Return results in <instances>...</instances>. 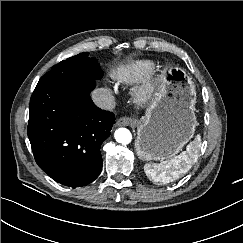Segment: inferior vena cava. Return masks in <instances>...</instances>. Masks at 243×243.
Instances as JSON below:
<instances>
[{
    "mask_svg": "<svg viewBox=\"0 0 243 243\" xmlns=\"http://www.w3.org/2000/svg\"><path fill=\"white\" fill-rule=\"evenodd\" d=\"M91 98L94 104L103 110H111L115 107V99L106 89H95L91 94Z\"/></svg>",
    "mask_w": 243,
    "mask_h": 243,
    "instance_id": "1",
    "label": "inferior vena cava"
}]
</instances>
